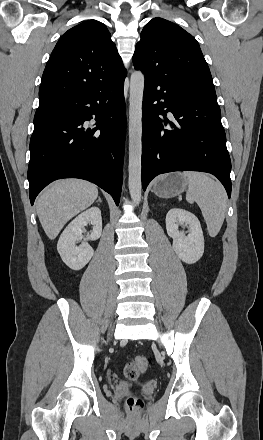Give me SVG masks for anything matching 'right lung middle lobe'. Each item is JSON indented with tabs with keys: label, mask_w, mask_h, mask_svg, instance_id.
Wrapping results in <instances>:
<instances>
[{
	"label": "right lung middle lobe",
	"mask_w": 263,
	"mask_h": 440,
	"mask_svg": "<svg viewBox=\"0 0 263 440\" xmlns=\"http://www.w3.org/2000/svg\"><path fill=\"white\" fill-rule=\"evenodd\" d=\"M56 105L38 107L34 116V124L40 122L54 112Z\"/></svg>",
	"instance_id": "obj_1"
}]
</instances>
